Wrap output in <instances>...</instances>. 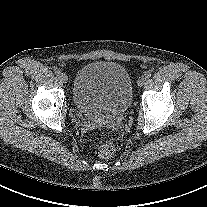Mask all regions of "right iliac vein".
I'll return each instance as SVG.
<instances>
[{
    "label": "right iliac vein",
    "mask_w": 207,
    "mask_h": 207,
    "mask_svg": "<svg viewBox=\"0 0 207 207\" xmlns=\"http://www.w3.org/2000/svg\"><path fill=\"white\" fill-rule=\"evenodd\" d=\"M59 79L63 82V83H67L68 81V76L65 73H61L59 75Z\"/></svg>",
    "instance_id": "right-iliac-vein-1"
}]
</instances>
